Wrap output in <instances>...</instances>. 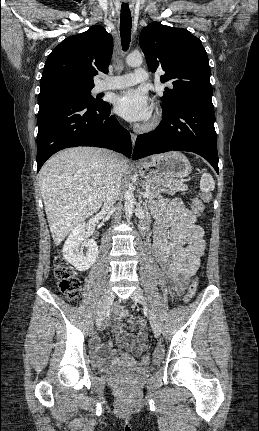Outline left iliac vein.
Returning <instances> with one entry per match:
<instances>
[{"label":"left iliac vein","instance_id":"obj_1","mask_svg":"<svg viewBox=\"0 0 259 431\" xmlns=\"http://www.w3.org/2000/svg\"><path fill=\"white\" fill-rule=\"evenodd\" d=\"M131 298L133 301L146 306V301L144 298V294L143 291L140 287H137L134 292L131 294ZM149 319H150V323H151V327L152 330L155 334V336H160L161 333V328H160V324L159 321L157 319V317L155 316V314L153 313L152 310H149Z\"/></svg>","mask_w":259,"mask_h":431}]
</instances>
